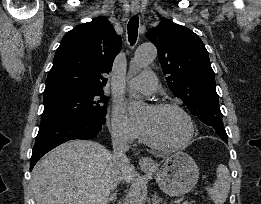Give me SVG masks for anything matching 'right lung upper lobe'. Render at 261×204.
<instances>
[{
    "label": "right lung upper lobe",
    "instance_id": "obj_1",
    "mask_svg": "<svg viewBox=\"0 0 261 204\" xmlns=\"http://www.w3.org/2000/svg\"><path fill=\"white\" fill-rule=\"evenodd\" d=\"M122 40L105 17L67 32L49 71L44 94L62 90H103Z\"/></svg>",
    "mask_w": 261,
    "mask_h": 204
}]
</instances>
